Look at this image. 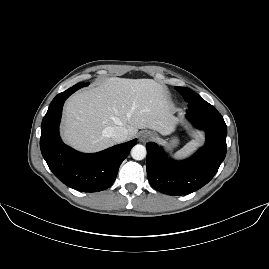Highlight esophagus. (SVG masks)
Masks as SVG:
<instances>
[{
  "instance_id": "esophagus-1",
  "label": "esophagus",
  "mask_w": 269,
  "mask_h": 269,
  "mask_svg": "<svg viewBox=\"0 0 269 269\" xmlns=\"http://www.w3.org/2000/svg\"><path fill=\"white\" fill-rule=\"evenodd\" d=\"M154 137L153 132L151 131H143L140 135H139V141L140 142H147L152 140Z\"/></svg>"
}]
</instances>
